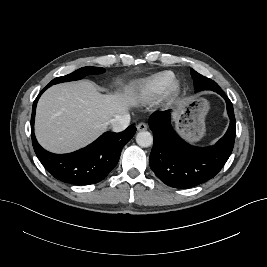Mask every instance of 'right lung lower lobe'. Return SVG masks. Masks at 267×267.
Segmentation results:
<instances>
[{
  "mask_svg": "<svg viewBox=\"0 0 267 267\" xmlns=\"http://www.w3.org/2000/svg\"><path fill=\"white\" fill-rule=\"evenodd\" d=\"M33 103L31 137L34 151L47 171L56 179L73 185L95 184L103 180L117 165L122 147L134 136L135 126L120 133L106 132L90 145L69 154H53L43 149L34 135L35 110L39 97Z\"/></svg>",
  "mask_w": 267,
  "mask_h": 267,
  "instance_id": "obj_1",
  "label": "right lung lower lobe"
}]
</instances>
